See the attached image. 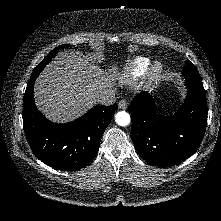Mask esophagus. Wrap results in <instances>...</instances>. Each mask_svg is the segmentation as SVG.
<instances>
[{"label":"esophagus","instance_id":"esophagus-1","mask_svg":"<svg viewBox=\"0 0 221 221\" xmlns=\"http://www.w3.org/2000/svg\"><path fill=\"white\" fill-rule=\"evenodd\" d=\"M118 107L120 108V109H123V110H126L127 108H128V103H127V101L126 100H121V101H119L118 102Z\"/></svg>","mask_w":221,"mask_h":221}]
</instances>
